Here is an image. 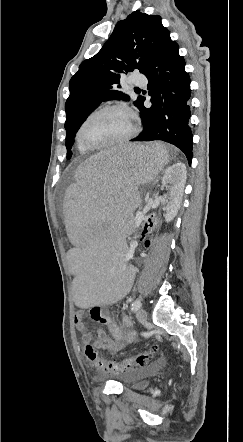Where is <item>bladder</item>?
Masks as SVG:
<instances>
[{"mask_svg":"<svg viewBox=\"0 0 243 442\" xmlns=\"http://www.w3.org/2000/svg\"><path fill=\"white\" fill-rule=\"evenodd\" d=\"M153 369H142L133 374H131L127 379L126 383L129 387L134 389H145L148 386L146 381V377L149 373L152 372Z\"/></svg>","mask_w":243,"mask_h":442,"instance_id":"1","label":"bladder"}]
</instances>
